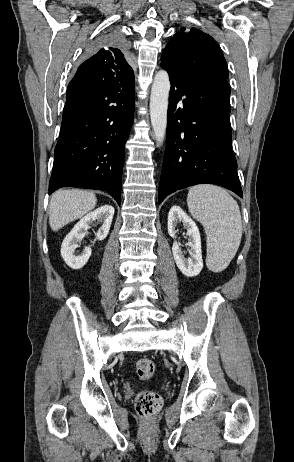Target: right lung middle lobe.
<instances>
[{
  "mask_svg": "<svg viewBox=\"0 0 294 462\" xmlns=\"http://www.w3.org/2000/svg\"><path fill=\"white\" fill-rule=\"evenodd\" d=\"M124 44L123 37L117 30H111L98 37L90 47L92 52L98 51L101 47L122 46Z\"/></svg>",
  "mask_w": 294,
  "mask_h": 462,
  "instance_id": "obj_1",
  "label": "right lung middle lobe"
}]
</instances>
